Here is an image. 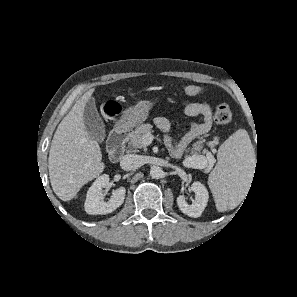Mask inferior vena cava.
<instances>
[{
  "mask_svg": "<svg viewBox=\"0 0 297 297\" xmlns=\"http://www.w3.org/2000/svg\"><path fill=\"white\" fill-rule=\"evenodd\" d=\"M143 164L142 157L135 154H127L122 157L120 166L124 170H134L141 167Z\"/></svg>",
  "mask_w": 297,
  "mask_h": 297,
  "instance_id": "inferior-vena-cava-1",
  "label": "inferior vena cava"
}]
</instances>
